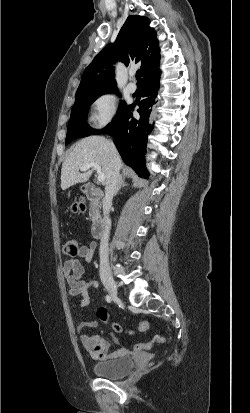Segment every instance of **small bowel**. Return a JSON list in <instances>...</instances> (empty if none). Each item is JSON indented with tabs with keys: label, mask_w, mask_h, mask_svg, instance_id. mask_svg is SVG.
Wrapping results in <instances>:
<instances>
[{
	"label": "small bowel",
	"mask_w": 250,
	"mask_h": 413,
	"mask_svg": "<svg viewBox=\"0 0 250 413\" xmlns=\"http://www.w3.org/2000/svg\"><path fill=\"white\" fill-rule=\"evenodd\" d=\"M96 244L90 242L87 245H82L79 248L77 258H70L64 262L63 272L68 283V294L71 297L80 296L79 308H85L90 303L89 290L91 288H97L99 283L97 279L90 278L86 280L83 278L84 267L80 259L89 262L92 260ZM98 326L97 321H83L77 326V332L80 334V341L94 360H108L127 353V349L120 348L114 352H109L110 344L95 334H84L83 331L87 328H96ZM147 330V329H146ZM114 341L118 342V339L114 337ZM152 343V342H151Z\"/></svg>",
	"instance_id": "c3829d8e"
}]
</instances>
